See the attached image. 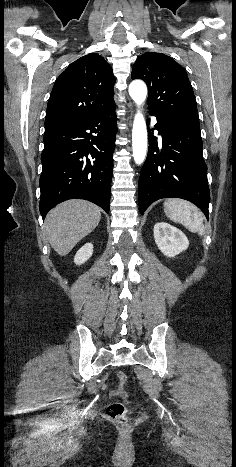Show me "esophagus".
I'll return each mask as SVG.
<instances>
[{"label": "esophagus", "instance_id": "34e87169", "mask_svg": "<svg viewBox=\"0 0 236 467\" xmlns=\"http://www.w3.org/2000/svg\"><path fill=\"white\" fill-rule=\"evenodd\" d=\"M128 108H129V113H130V116H129V117L132 118V115H133V107H132V104H131V103L128 104Z\"/></svg>", "mask_w": 236, "mask_h": 467}]
</instances>
